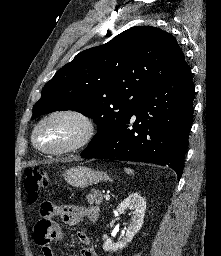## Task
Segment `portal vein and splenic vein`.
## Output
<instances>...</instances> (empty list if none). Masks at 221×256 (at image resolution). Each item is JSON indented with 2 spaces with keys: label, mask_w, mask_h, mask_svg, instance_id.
<instances>
[{
  "label": "portal vein and splenic vein",
  "mask_w": 221,
  "mask_h": 256,
  "mask_svg": "<svg viewBox=\"0 0 221 256\" xmlns=\"http://www.w3.org/2000/svg\"><path fill=\"white\" fill-rule=\"evenodd\" d=\"M104 198H105V200H110V195L109 194H105Z\"/></svg>",
  "instance_id": "obj_1"
}]
</instances>
